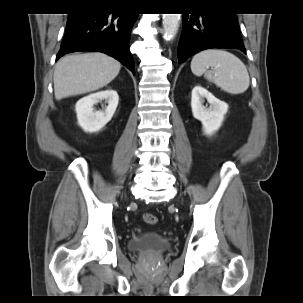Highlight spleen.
<instances>
[{"label": "spleen", "mask_w": 303, "mask_h": 303, "mask_svg": "<svg viewBox=\"0 0 303 303\" xmlns=\"http://www.w3.org/2000/svg\"><path fill=\"white\" fill-rule=\"evenodd\" d=\"M214 68V72L207 69ZM191 71L202 76L230 94L245 92L250 83L244 63L232 53L221 49H208L197 53L191 61Z\"/></svg>", "instance_id": "spleen-1"}]
</instances>
